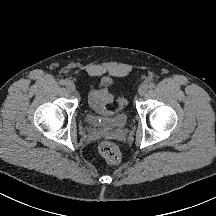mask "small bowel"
<instances>
[{
    "instance_id": "1",
    "label": "small bowel",
    "mask_w": 216,
    "mask_h": 216,
    "mask_svg": "<svg viewBox=\"0 0 216 216\" xmlns=\"http://www.w3.org/2000/svg\"><path fill=\"white\" fill-rule=\"evenodd\" d=\"M109 81L106 79L104 85L97 89H92L89 94V103L92 109L102 115H109L107 106L112 102L113 96L106 87Z\"/></svg>"
}]
</instances>
